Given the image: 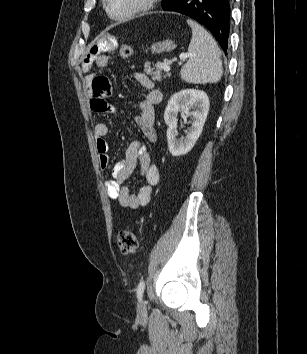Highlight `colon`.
Segmentation results:
<instances>
[{
    "instance_id": "5ec220e1",
    "label": "colon",
    "mask_w": 307,
    "mask_h": 354,
    "mask_svg": "<svg viewBox=\"0 0 307 354\" xmlns=\"http://www.w3.org/2000/svg\"><path fill=\"white\" fill-rule=\"evenodd\" d=\"M132 47L123 44L120 47V55L123 59H129L132 56ZM118 246L123 254H134L138 249V235L131 230H123L117 236Z\"/></svg>"
}]
</instances>
